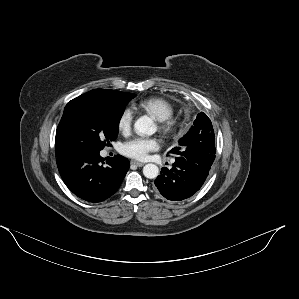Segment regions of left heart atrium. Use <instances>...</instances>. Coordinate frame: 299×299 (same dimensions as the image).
Returning a JSON list of instances; mask_svg holds the SVG:
<instances>
[{
    "label": "left heart atrium",
    "mask_w": 299,
    "mask_h": 299,
    "mask_svg": "<svg viewBox=\"0 0 299 299\" xmlns=\"http://www.w3.org/2000/svg\"><path fill=\"white\" fill-rule=\"evenodd\" d=\"M159 148V142L153 138H134L121 146V153L127 157L142 160L149 152Z\"/></svg>",
    "instance_id": "left-heart-atrium-1"
}]
</instances>
